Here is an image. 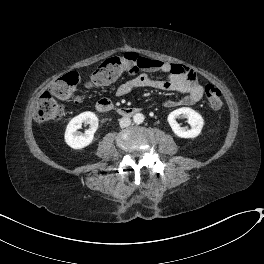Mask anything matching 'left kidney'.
Listing matches in <instances>:
<instances>
[{"mask_svg": "<svg viewBox=\"0 0 264 264\" xmlns=\"http://www.w3.org/2000/svg\"><path fill=\"white\" fill-rule=\"evenodd\" d=\"M179 116L188 119V124L191 126V129L180 126V124L176 121V118H178ZM167 120L174 134L181 138L197 137L201 133L204 125L203 117L198 112L189 107H182L172 111L168 115Z\"/></svg>", "mask_w": 264, "mask_h": 264, "instance_id": "5707ae66", "label": "left kidney"}]
</instances>
